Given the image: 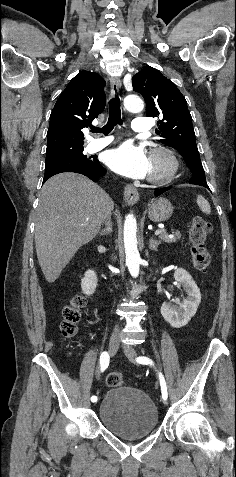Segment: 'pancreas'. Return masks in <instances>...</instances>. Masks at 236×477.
Wrapping results in <instances>:
<instances>
[{
    "mask_svg": "<svg viewBox=\"0 0 236 477\" xmlns=\"http://www.w3.org/2000/svg\"><path fill=\"white\" fill-rule=\"evenodd\" d=\"M160 239L165 241L166 243H175L177 240L181 239V234L180 232H174L172 236H170L166 232H163L162 234H160Z\"/></svg>",
    "mask_w": 236,
    "mask_h": 477,
    "instance_id": "cf45deb5",
    "label": "pancreas"
}]
</instances>
